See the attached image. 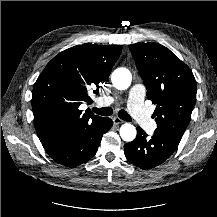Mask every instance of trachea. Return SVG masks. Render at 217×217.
Segmentation results:
<instances>
[{
	"label": "trachea",
	"instance_id": "trachea-1",
	"mask_svg": "<svg viewBox=\"0 0 217 217\" xmlns=\"http://www.w3.org/2000/svg\"><path fill=\"white\" fill-rule=\"evenodd\" d=\"M92 111L101 116H110L113 113V109L111 107L92 108ZM118 116L124 121H132L130 115L125 110H120L118 112Z\"/></svg>",
	"mask_w": 217,
	"mask_h": 217
}]
</instances>
